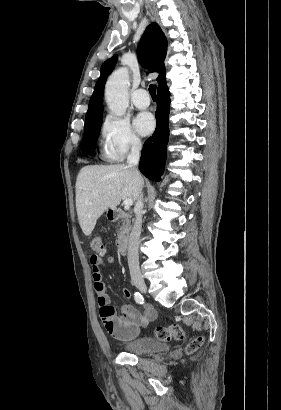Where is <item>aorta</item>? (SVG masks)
<instances>
[{"label":"aorta","mask_w":281,"mask_h":410,"mask_svg":"<svg viewBox=\"0 0 281 410\" xmlns=\"http://www.w3.org/2000/svg\"><path fill=\"white\" fill-rule=\"evenodd\" d=\"M129 72L126 68L113 72L105 87V99L110 111L122 116L129 106L128 98Z\"/></svg>","instance_id":"762f6f07"}]
</instances>
